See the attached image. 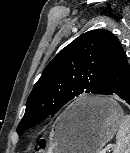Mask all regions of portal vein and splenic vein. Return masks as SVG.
Masks as SVG:
<instances>
[{"mask_svg": "<svg viewBox=\"0 0 130 153\" xmlns=\"http://www.w3.org/2000/svg\"><path fill=\"white\" fill-rule=\"evenodd\" d=\"M113 147V145H108L104 150L101 151V153H106V151L110 150Z\"/></svg>", "mask_w": 130, "mask_h": 153, "instance_id": "18ae733b", "label": "portal vein and splenic vein"}]
</instances>
